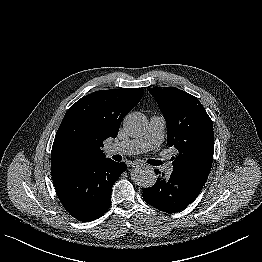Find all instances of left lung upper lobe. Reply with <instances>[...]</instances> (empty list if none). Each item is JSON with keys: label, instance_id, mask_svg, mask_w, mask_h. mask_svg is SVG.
<instances>
[{"label": "left lung upper lobe", "instance_id": "5c2ea615", "mask_svg": "<svg viewBox=\"0 0 262 262\" xmlns=\"http://www.w3.org/2000/svg\"><path fill=\"white\" fill-rule=\"evenodd\" d=\"M167 123V143L177 149L173 171L206 182L214 153V133L210 117L200 101L175 87L149 89Z\"/></svg>", "mask_w": 262, "mask_h": 262}]
</instances>
